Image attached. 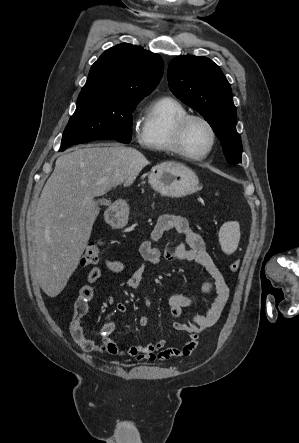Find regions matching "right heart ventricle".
Listing matches in <instances>:
<instances>
[{
    "mask_svg": "<svg viewBox=\"0 0 299 443\" xmlns=\"http://www.w3.org/2000/svg\"><path fill=\"white\" fill-rule=\"evenodd\" d=\"M188 111L172 97H160L146 109L141 128L140 144L151 151L174 153L173 130L177 120Z\"/></svg>",
    "mask_w": 299,
    "mask_h": 443,
    "instance_id": "obj_1",
    "label": "right heart ventricle"
}]
</instances>
